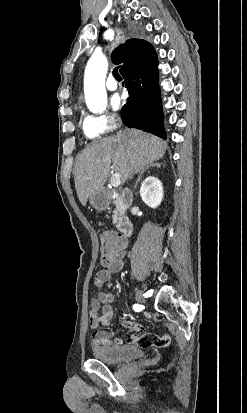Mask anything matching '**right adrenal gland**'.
Wrapping results in <instances>:
<instances>
[{
	"label": "right adrenal gland",
	"mask_w": 247,
	"mask_h": 413,
	"mask_svg": "<svg viewBox=\"0 0 247 413\" xmlns=\"http://www.w3.org/2000/svg\"><path fill=\"white\" fill-rule=\"evenodd\" d=\"M150 166H158V168H160L161 164H160V162H150V164H147V166H145V168H142V170H140L139 176H138V178H137V180H136V182H135V184H134V188H136V186H137V184H138V182H139V180H140L143 172H145V170H148V168H150Z\"/></svg>",
	"instance_id": "2a0ac1e0"
}]
</instances>
